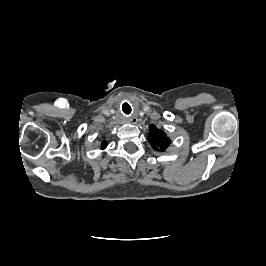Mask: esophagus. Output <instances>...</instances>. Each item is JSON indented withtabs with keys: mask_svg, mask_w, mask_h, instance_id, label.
Masks as SVG:
<instances>
[{
	"mask_svg": "<svg viewBox=\"0 0 266 266\" xmlns=\"http://www.w3.org/2000/svg\"><path fill=\"white\" fill-rule=\"evenodd\" d=\"M130 122H131L132 124H137V122H138L137 117H135V116L131 117V118H130Z\"/></svg>",
	"mask_w": 266,
	"mask_h": 266,
	"instance_id": "1",
	"label": "esophagus"
}]
</instances>
